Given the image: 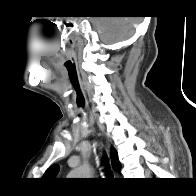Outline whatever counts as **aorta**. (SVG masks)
Here are the masks:
<instances>
[{
	"label": "aorta",
	"instance_id": "aorta-1",
	"mask_svg": "<svg viewBox=\"0 0 196 196\" xmlns=\"http://www.w3.org/2000/svg\"><path fill=\"white\" fill-rule=\"evenodd\" d=\"M88 174V165L83 164L78 169L74 170L70 176H73L72 178H84V176H87Z\"/></svg>",
	"mask_w": 196,
	"mask_h": 196
}]
</instances>
